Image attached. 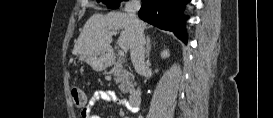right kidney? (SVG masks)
Segmentation results:
<instances>
[{"label":"right kidney","mask_w":273,"mask_h":118,"mask_svg":"<svg viewBox=\"0 0 273 118\" xmlns=\"http://www.w3.org/2000/svg\"><path fill=\"white\" fill-rule=\"evenodd\" d=\"M169 51L168 50H164L162 53H161V57L162 58H167V57H169Z\"/></svg>","instance_id":"ca27d5eb"}]
</instances>
